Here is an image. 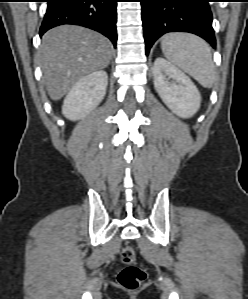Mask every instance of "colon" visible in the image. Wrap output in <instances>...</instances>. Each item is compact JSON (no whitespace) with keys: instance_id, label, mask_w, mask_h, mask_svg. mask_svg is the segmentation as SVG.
<instances>
[{"instance_id":"5ec220e1","label":"colon","mask_w":248,"mask_h":299,"mask_svg":"<svg viewBox=\"0 0 248 299\" xmlns=\"http://www.w3.org/2000/svg\"><path fill=\"white\" fill-rule=\"evenodd\" d=\"M124 267L120 270L118 284L127 290H136L146 279V270L136 263V253L132 246H126L121 252Z\"/></svg>"}]
</instances>
